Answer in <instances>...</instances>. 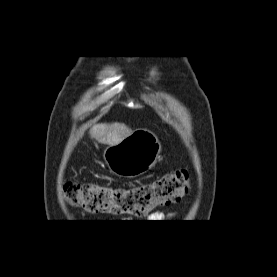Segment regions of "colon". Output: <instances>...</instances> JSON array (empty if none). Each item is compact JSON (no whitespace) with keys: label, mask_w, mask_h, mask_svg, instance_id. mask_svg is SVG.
I'll return each instance as SVG.
<instances>
[{"label":"colon","mask_w":277,"mask_h":277,"mask_svg":"<svg viewBox=\"0 0 277 277\" xmlns=\"http://www.w3.org/2000/svg\"><path fill=\"white\" fill-rule=\"evenodd\" d=\"M189 188L188 172L177 170L152 182L127 188L68 182L64 192L71 205L88 212L144 216L158 206L179 201Z\"/></svg>","instance_id":"colon-1"}]
</instances>
